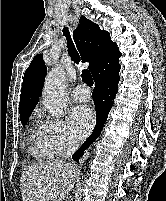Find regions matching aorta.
Segmentation results:
<instances>
[{"label": "aorta", "mask_w": 166, "mask_h": 201, "mask_svg": "<svg viewBox=\"0 0 166 201\" xmlns=\"http://www.w3.org/2000/svg\"><path fill=\"white\" fill-rule=\"evenodd\" d=\"M45 105L52 116L61 117L67 108L65 94V72L61 68L53 69L46 77L44 84ZM89 157L86 152L80 162L83 164Z\"/></svg>", "instance_id": "762f6f07"}]
</instances>
